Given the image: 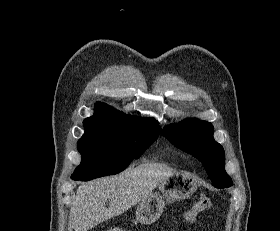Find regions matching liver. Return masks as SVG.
Here are the masks:
<instances>
[{
    "label": "liver",
    "mask_w": 280,
    "mask_h": 231,
    "mask_svg": "<svg viewBox=\"0 0 280 231\" xmlns=\"http://www.w3.org/2000/svg\"><path fill=\"white\" fill-rule=\"evenodd\" d=\"M175 173L165 163H141L118 175L83 181L76 191L69 217L75 231H87L146 199L155 187ZM110 201L106 207V201Z\"/></svg>",
    "instance_id": "6515ba94"
}]
</instances>
